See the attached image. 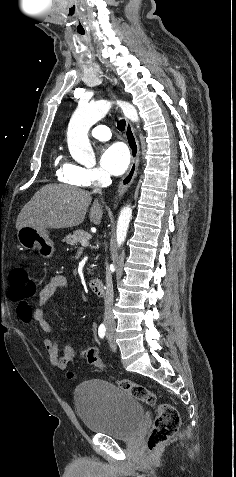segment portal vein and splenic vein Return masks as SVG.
I'll return each mask as SVG.
<instances>
[{
  "label": "portal vein and splenic vein",
  "mask_w": 236,
  "mask_h": 477,
  "mask_svg": "<svg viewBox=\"0 0 236 477\" xmlns=\"http://www.w3.org/2000/svg\"><path fill=\"white\" fill-rule=\"evenodd\" d=\"M81 245H82L83 247L88 246V240H85V239L82 240V241H81Z\"/></svg>",
  "instance_id": "portal-vein-and-splenic-vein-1"
}]
</instances>
